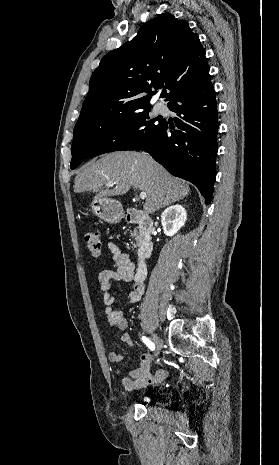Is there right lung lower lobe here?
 <instances>
[{"label": "right lung lower lobe", "instance_id": "obj_1", "mask_svg": "<svg viewBox=\"0 0 279 465\" xmlns=\"http://www.w3.org/2000/svg\"><path fill=\"white\" fill-rule=\"evenodd\" d=\"M168 108L178 115L175 125L179 130L170 131L165 122L151 142L123 150L148 152L172 175L193 183L209 204L216 177L219 127L210 77L175 96Z\"/></svg>", "mask_w": 279, "mask_h": 465}]
</instances>
